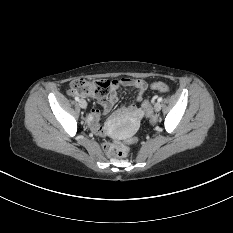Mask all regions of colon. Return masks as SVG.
Here are the masks:
<instances>
[{
  "label": "colon",
  "instance_id": "1",
  "mask_svg": "<svg viewBox=\"0 0 233 233\" xmlns=\"http://www.w3.org/2000/svg\"><path fill=\"white\" fill-rule=\"evenodd\" d=\"M111 82L107 79L87 80L83 78L75 79L70 83L72 93L79 94L84 97H94L98 99L105 98L109 93ZM151 89L160 93L169 92L170 88L163 82H154ZM151 101L145 100L143 103V112L152 119ZM103 152L109 157H121L127 152V148L120 142H105L102 145Z\"/></svg>",
  "mask_w": 233,
  "mask_h": 233
}]
</instances>
